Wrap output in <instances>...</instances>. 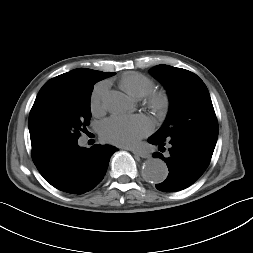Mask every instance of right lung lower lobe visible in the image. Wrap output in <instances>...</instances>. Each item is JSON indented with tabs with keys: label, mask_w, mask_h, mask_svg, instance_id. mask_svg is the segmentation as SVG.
Returning <instances> with one entry per match:
<instances>
[{
	"label": "right lung lower lobe",
	"mask_w": 253,
	"mask_h": 253,
	"mask_svg": "<svg viewBox=\"0 0 253 253\" xmlns=\"http://www.w3.org/2000/svg\"><path fill=\"white\" fill-rule=\"evenodd\" d=\"M116 150L114 146L100 144L86 149L76 142L54 153L37 168L53 187L71 194H83L102 181Z\"/></svg>",
	"instance_id": "98d812e1"
}]
</instances>
